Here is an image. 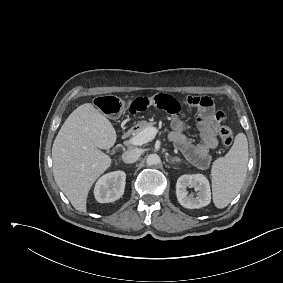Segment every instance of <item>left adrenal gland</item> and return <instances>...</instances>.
<instances>
[{
	"mask_svg": "<svg viewBox=\"0 0 283 283\" xmlns=\"http://www.w3.org/2000/svg\"><path fill=\"white\" fill-rule=\"evenodd\" d=\"M166 161H169L171 164H174L175 162H180V159L178 158H173V159H170L168 158V156H166Z\"/></svg>",
	"mask_w": 283,
	"mask_h": 283,
	"instance_id": "a2214340",
	"label": "left adrenal gland"
}]
</instances>
